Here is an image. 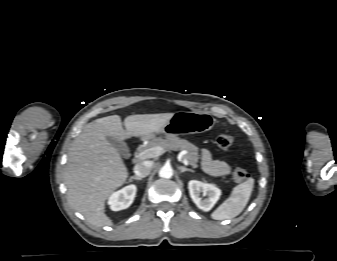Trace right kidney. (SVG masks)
Wrapping results in <instances>:
<instances>
[{"label":"right kidney","mask_w":337,"mask_h":261,"mask_svg":"<svg viewBox=\"0 0 337 261\" xmlns=\"http://www.w3.org/2000/svg\"><path fill=\"white\" fill-rule=\"evenodd\" d=\"M137 187L135 185H128L121 190L114 192L108 200L113 211H119L128 208L136 195Z\"/></svg>","instance_id":"obj_1"}]
</instances>
